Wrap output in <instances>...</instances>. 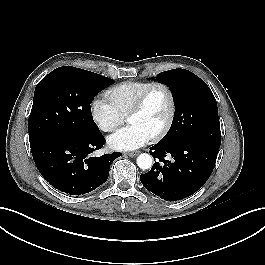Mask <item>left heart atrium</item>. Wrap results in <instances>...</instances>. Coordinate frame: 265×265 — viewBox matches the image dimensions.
Returning <instances> with one entry per match:
<instances>
[{
	"label": "left heart atrium",
	"instance_id": "left-heart-atrium-1",
	"mask_svg": "<svg viewBox=\"0 0 265 265\" xmlns=\"http://www.w3.org/2000/svg\"><path fill=\"white\" fill-rule=\"evenodd\" d=\"M151 137L150 133L140 126L130 124L110 135L107 142L111 149L130 151L142 147Z\"/></svg>",
	"mask_w": 265,
	"mask_h": 265
}]
</instances>
